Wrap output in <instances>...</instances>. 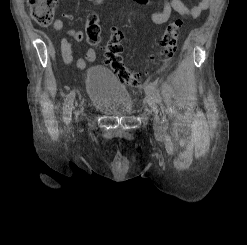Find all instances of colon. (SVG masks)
<instances>
[{"label":"colon","instance_id":"colon-1","mask_svg":"<svg viewBox=\"0 0 247 245\" xmlns=\"http://www.w3.org/2000/svg\"><path fill=\"white\" fill-rule=\"evenodd\" d=\"M32 19L41 26H48L54 18V10L57 0H26ZM182 19H175L167 26L165 32L158 40V49L154 61L156 64L164 63L171 59L177 49V42L180 37ZM87 42L97 48L100 47L101 27L98 14L91 12L86 19ZM124 46L120 38L110 37L105 47V62L109 65L117 77L127 85L140 86L143 83V76L148 73L132 71L123 62L122 53Z\"/></svg>","mask_w":247,"mask_h":245}]
</instances>
